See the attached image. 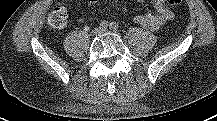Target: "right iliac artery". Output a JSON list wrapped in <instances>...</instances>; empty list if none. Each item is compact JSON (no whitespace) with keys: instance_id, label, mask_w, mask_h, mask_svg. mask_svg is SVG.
<instances>
[{"instance_id":"obj_1","label":"right iliac artery","mask_w":217,"mask_h":121,"mask_svg":"<svg viewBox=\"0 0 217 121\" xmlns=\"http://www.w3.org/2000/svg\"><path fill=\"white\" fill-rule=\"evenodd\" d=\"M108 27V22L107 21H103V22H101V24H100V28H102V29H106Z\"/></svg>"}]
</instances>
